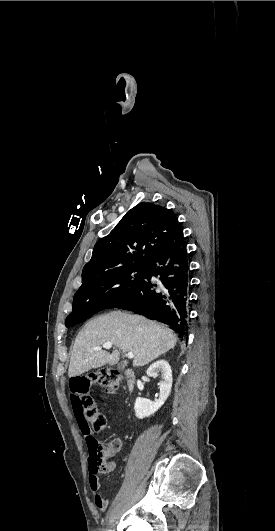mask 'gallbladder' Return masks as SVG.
<instances>
[{"label":"gallbladder","mask_w":275,"mask_h":531,"mask_svg":"<svg viewBox=\"0 0 275 531\" xmlns=\"http://www.w3.org/2000/svg\"><path fill=\"white\" fill-rule=\"evenodd\" d=\"M127 363H125V361H122V363H118L117 367L118 369H120V371H123V369H125Z\"/></svg>","instance_id":"1"}]
</instances>
